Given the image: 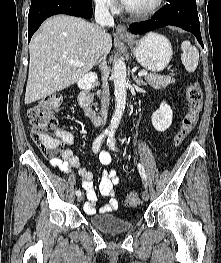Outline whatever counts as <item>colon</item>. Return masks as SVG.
Listing matches in <instances>:
<instances>
[{"instance_id": "1", "label": "colon", "mask_w": 221, "mask_h": 263, "mask_svg": "<svg viewBox=\"0 0 221 263\" xmlns=\"http://www.w3.org/2000/svg\"><path fill=\"white\" fill-rule=\"evenodd\" d=\"M188 109L174 142L180 144L196 126L203 105L202 91L196 83H191L186 92ZM62 104V96L51 94L40 100L28 111L31 127V137L45 157L55 159L62 154L63 146L57 130L55 112ZM61 135V134H60ZM140 203L137 191L129 192L125 197L128 207H135Z\"/></svg>"}]
</instances>
